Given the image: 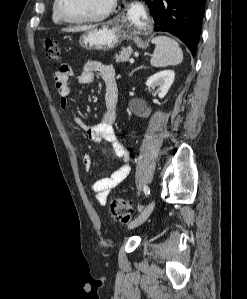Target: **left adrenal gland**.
Wrapping results in <instances>:
<instances>
[{
  "instance_id": "obj_1",
  "label": "left adrenal gland",
  "mask_w": 247,
  "mask_h": 299,
  "mask_svg": "<svg viewBox=\"0 0 247 299\" xmlns=\"http://www.w3.org/2000/svg\"><path fill=\"white\" fill-rule=\"evenodd\" d=\"M142 67H138V68H136V69H134L131 73H130V76L135 72V71H137V70H139V69H141Z\"/></svg>"
}]
</instances>
